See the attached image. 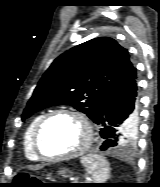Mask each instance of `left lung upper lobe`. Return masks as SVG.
<instances>
[{
    "label": "left lung upper lobe",
    "mask_w": 160,
    "mask_h": 187,
    "mask_svg": "<svg viewBox=\"0 0 160 187\" xmlns=\"http://www.w3.org/2000/svg\"><path fill=\"white\" fill-rule=\"evenodd\" d=\"M134 66L128 51L109 37H99L66 51L43 74L23 114L53 105H71L93 122L105 97L126 81ZM121 144L134 141L137 128Z\"/></svg>",
    "instance_id": "5c2ea615"
}]
</instances>
